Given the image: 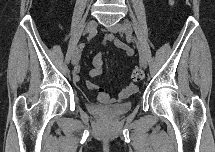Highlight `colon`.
<instances>
[{"label":"colon","instance_id":"colon-1","mask_svg":"<svg viewBox=\"0 0 215 152\" xmlns=\"http://www.w3.org/2000/svg\"><path fill=\"white\" fill-rule=\"evenodd\" d=\"M143 71L140 68H135L132 72V77L135 81H140L143 79Z\"/></svg>","mask_w":215,"mask_h":152}]
</instances>
